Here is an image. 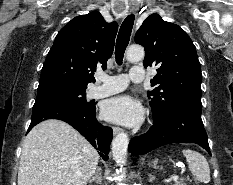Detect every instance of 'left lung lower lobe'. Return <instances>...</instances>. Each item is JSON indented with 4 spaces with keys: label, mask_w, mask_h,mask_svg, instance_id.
I'll return each instance as SVG.
<instances>
[{
    "label": "left lung lower lobe",
    "mask_w": 233,
    "mask_h": 185,
    "mask_svg": "<svg viewBox=\"0 0 233 185\" xmlns=\"http://www.w3.org/2000/svg\"><path fill=\"white\" fill-rule=\"evenodd\" d=\"M201 110V96L181 99L163 118L153 119L147 133L132 138L129 152L140 155L166 144L189 142L200 145L211 155Z\"/></svg>",
    "instance_id": "obj_1"
}]
</instances>
